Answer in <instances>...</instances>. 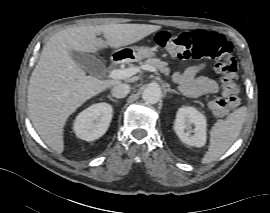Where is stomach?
Returning <instances> with one entry per match:
<instances>
[{"mask_svg":"<svg viewBox=\"0 0 270 213\" xmlns=\"http://www.w3.org/2000/svg\"><path fill=\"white\" fill-rule=\"evenodd\" d=\"M155 51V48L133 46L121 48L117 53L121 54V58L124 61H140L142 59L154 56Z\"/></svg>","mask_w":270,"mask_h":213,"instance_id":"obj_1","label":"stomach"}]
</instances>
